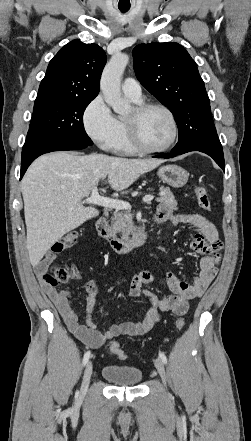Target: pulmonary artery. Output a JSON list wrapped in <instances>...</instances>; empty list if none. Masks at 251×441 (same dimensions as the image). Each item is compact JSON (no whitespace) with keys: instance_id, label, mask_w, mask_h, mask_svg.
Wrapping results in <instances>:
<instances>
[{"instance_id":"1","label":"pulmonary artery","mask_w":251,"mask_h":441,"mask_svg":"<svg viewBox=\"0 0 251 441\" xmlns=\"http://www.w3.org/2000/svg\"><path fill=\"white\" fill-rule=\"evenodd\" d=\"M122 91L128 97H131L134 99H141L142 98L141 86H140L139 82L132 77H128L123 81Z\"/></svg>"}]
</instances>
